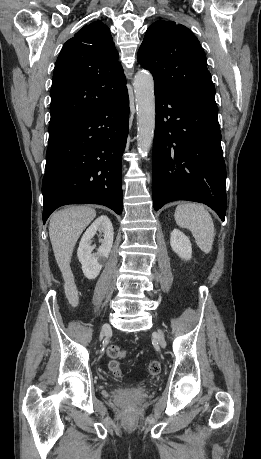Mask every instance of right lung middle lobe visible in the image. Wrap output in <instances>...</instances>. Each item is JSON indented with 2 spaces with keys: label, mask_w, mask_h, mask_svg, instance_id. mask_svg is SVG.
<instances>
[{
  "label": "right lung middle lobe",
  "mask_w": 261,
  "mask_h": 459,
  "mask_svg": "<svg viewBox=\"0 0 261 459\" xmlns=\"http://www.w3.org/2000/svg\"><path fill=\"white\" fill-rule=\"evenodd\" d=\"M69 126V124L49 126V140L56 138L58 135L63 133Z\"/></svg>",
  "instance_id": "right-lung-middle-lobe-1"
}]
</instances>
